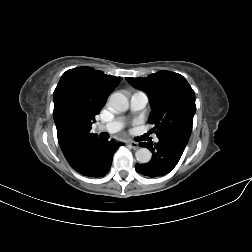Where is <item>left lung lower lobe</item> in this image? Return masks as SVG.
I'll return each mask as SVG.
<instances>
[{"instance_id": "left-lung-lower-lobe-1", "label": "left lung lower lobe", "mask_w": 252, "mask_h": 252, "mask_svg": "<svg viewBox=\"0 0 252 252\" xmlns=\"http://www.w3.org/2000/svg\"><path fill=\"white\" fill-rule=\"evenodd\" d=\"M159 142L140 143L152 152V159L145 164H135L138 173L154 178L171 172L179 162L188 141L175 136L158 137Z\"/></svg>"}]
</instances>
